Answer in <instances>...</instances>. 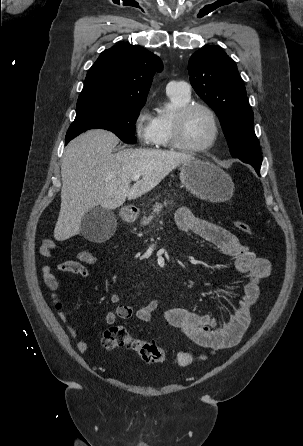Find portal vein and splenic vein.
<instances>
[{"label":"portal vein and splenic vein","mask_w":303,"mask_h":446,"mask_svg":"<svg viewBox=\"0 0 303 446\" xmlns=\"http://www.w3.org/2000/svg\"><path fill=\"white\" fill-rule=\"evenodd\" d=\"M139 178H140V175H133V176L131 177V179H132L133 181H137V180H139Z\"/></svg>","instance_id":"18ae733b"}]
</instances>
